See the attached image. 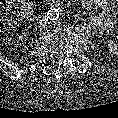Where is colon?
<instances>
[{
  "instance_id": "5ec220e1",
  "label": "colon",
  "mask_w": 118,
  "mask_h": 118,
  "mask_svg": "<svg viewBox=\"0 0 118 118\" xmlns=\"http://www.w3.org/2000/svg\"><path fill=\"white\" fill-rule=\"evenodd\" d=\"M31 0H5L2 19L9 20L13 16L23 17L31 10Z\"/></svg>"
}]
</instances>
